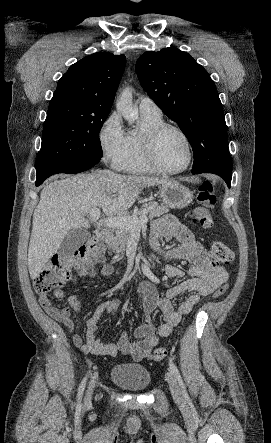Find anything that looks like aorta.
Listing matches in <instances>:
<instances>
[{"mask_svg": "<svg viewBox=\"0 0 271 443\" xmlns=\"http://www.w3.org/2000/svg\"><path fill=\"white\" fill-rule=\"evenodd\" d=\"M117 112H121L122 118L130 124H134L135 120H139L138 108H133L132 88L122 90L117 102Z\"/></svg>", "mask_w": 271, "mask_h": 443, "instance_id": "aorta-1", "label": "aorta"}]
</instances>
